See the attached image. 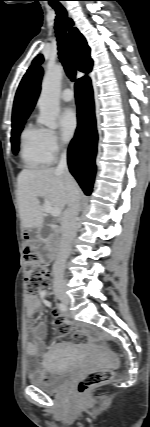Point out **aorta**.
Wrapping results in <instances>:
<instances>
[{"mask_svg":"<svg viewBox=\"0 0 150 427\" xmlns=\"http://www.w3.org/2000/svg\"><path fill=\"white\" fill-rule=\"evenodd\" d=\"M63 74L62 65L48 67L42 82L41 95L38 100L40 116L38 122L48 128L57 127L59 115V93Z\"/></svg>","mask_w":150,"mask_h":427,"instance_id":"aorta-1","label":"aorta"}]
</instances>
